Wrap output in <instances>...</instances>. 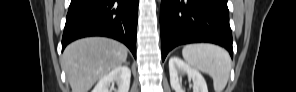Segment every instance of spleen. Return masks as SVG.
I'll return each mask as SVG.
<instances>
[{
    "label": "spleen",
    "mask_w": 296,
    "mask_h": 92,
    "mask_svg": "<svg viewBox=\"0 0 296 92\" xmlns=\"http://www.w3.org/2000/svg\"><path fill=\"white\" fill-rule=\"evenodd\" d=\"M182 55L190 66L212 77L215 92H223L231 70L226 50L212 44H189L183 48Z\"/></svg>",
    "instance_id": "spleen-1"
}]
</instances>
